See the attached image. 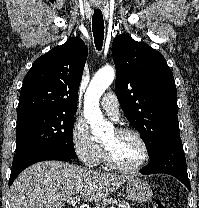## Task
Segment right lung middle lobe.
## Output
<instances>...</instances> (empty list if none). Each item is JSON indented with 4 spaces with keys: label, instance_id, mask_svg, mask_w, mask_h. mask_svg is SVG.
Masks as SVG:
<instances>
[{
    "label": "right lung middle lobe",
    "instance_id": "obj_1",
    "mask_svg": "<svg viewBox=\"0 0 199 208\" xmlns=\"http://www.w3.org/2000/svg\"><path fill=\"white\" fill-rule=\"evenodd\" d=\"M76 112L42 109L18 111L13 162L35 151L55 150L76 157L72 132Z\"/></svg>",
    "mask_w": 199,
    "mask_h": 208
}]
</instances>
